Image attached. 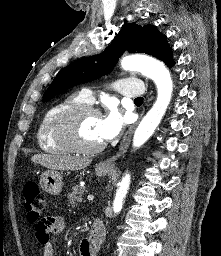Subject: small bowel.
Instances as JSON below:
<instances>
[{"mask_svg":"<svg viewBox=\"0 0 221 256\" xmlns=\"http://www.w3.org/2000/svg\"><path fill=\"white\" fill-rule=\"evenodd\" d=\"M65 226L62 217L54 216L43 219L41 225H36V238L43 247V256H54V248L50 239L51 234L60 233ZM80 256H97L98 246H93L88 238L81 241L79 247Z\"/></svg>","mask_w":221,"mask_h":256,"instance_id":"obj_1","label":"small bowel"}]
</instances>
